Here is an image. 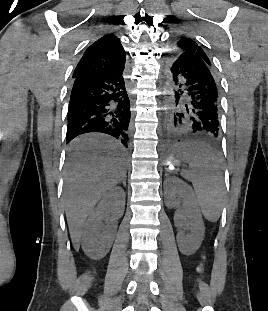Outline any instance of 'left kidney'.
<instances>
[{"mask_svg": "<svg viewBox=\"0 0 268 311\" xmlns=\"http://www.w3.org/2000/svg\"><path fill=\"white\" fill-rule=\"evenodd\" d=\"M165 184V205L174 208L183 205L185 208L175 215V226L179 229L177 243L184 255L194 254L200 247L205 233L204 223L191 187L176 177L167 178ZM189 233L185 235V231Z\"/></svg>", "mask_w": 268, "mask_h": 311, "instance_id": "left-kidney-1", "label": "left kidney"}]
</instances>
